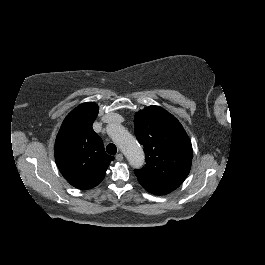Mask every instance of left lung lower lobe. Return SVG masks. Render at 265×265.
<instances>
[{
    "instance_id": "left-lung-lower-lobe-1",
    "label": "left lung lower lobe",
    "mask_w": 265,
    "mask_h": 265,
    "mask_svg": "<svg viewBox=\"0 0 265 265\" xmlns=\"http://www.w3.org/2000/svg\"><path fill=\"white\" fill-rule=\"evenodd\" d=\"M143 186V185H142ZM148 192L155 194V195H164L169 193V191L166 190H161V189H157V188H153V187H147V186H143Z\"/></svg>"
}]
</instances>
